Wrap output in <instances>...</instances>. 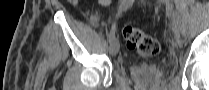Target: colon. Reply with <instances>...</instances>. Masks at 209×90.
I'll return each mask as SVG.
<instances>
[{
  "label": "colon",
  "instance_id": "1",
  "mask_svg": "<svg viewBox=\"0 0 209 90\" xmlns=\"http://www.w3.org/2000/svg\"><path fill=\"white\" fill-rule=\"evenodd\" d=\"M122 34L126 40L127 47L136 50L140 56L153 57L159 53V42L141 29L127 25L123 27Z\"/></svg>",
  "mask_w": 209,
  "mask_h": 90
}]
</instances>
